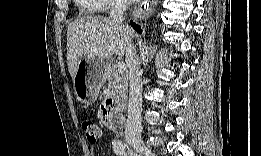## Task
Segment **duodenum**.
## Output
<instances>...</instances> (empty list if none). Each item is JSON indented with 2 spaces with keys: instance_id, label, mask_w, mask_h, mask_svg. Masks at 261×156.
I'll return each instance as SVG.
<instances>
[{
  "instance_id": "410a0bca",
  "label": "duodenum",
  "mask_w": 261,
  "mask_h": 156,
  "mask_svg": "<svg viewBox=\"0 0 261 156\" xmlns=\"http://www.w3.org/2000/svg\"><path fill=\"white\" fill-rule=\"evenodd\" d=\"M106 103L110 106L114 105V106H118L120 108H123V106H124V103L118 97H107Z\"/></svg>"
}]
</instances>
